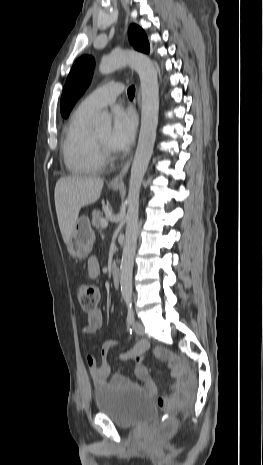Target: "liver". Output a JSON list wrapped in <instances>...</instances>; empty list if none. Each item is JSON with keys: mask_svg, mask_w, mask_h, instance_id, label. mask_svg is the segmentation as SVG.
I'll use <instances>...</instances> for the list:
<instances>
[{"mask_svg": "<svg viewBox=\"0 0 263 465\" xmlns=\"http://www.w3.org/2000/svg\"><path fill=\"white\" fill-rule=\"evenodd\" d=\"M104 181L93 176L61 177L55 185V207L59 228L65 244L82 207L95 203L101 195Z\"/></svg>", "mask_w": 263, "mask_h": 465, "instance_id": "1", "label": "liver"}]
</instances>
